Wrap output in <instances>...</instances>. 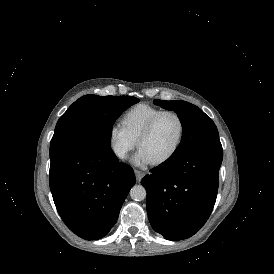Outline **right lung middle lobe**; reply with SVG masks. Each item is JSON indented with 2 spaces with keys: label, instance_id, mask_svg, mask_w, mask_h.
<instances>
[{
  "label": "right lung middle lobe",
  "instance_id": "dd1d6c3e",
  "mask_svg": "<svg viewBox=\"0 0 274 274\" xmlns=\"http://www.w3.org/2000/svg\"><path fill=\"white\" fill-rule=\"evenodd\" d=\"M139 99L131 96L85 95L58 120L50 143V159L61 152L87 146L111 147L115 120Z\"/></svg>",
  "mask_w": 274,
  "mask_h": 274
}]
</instances>
